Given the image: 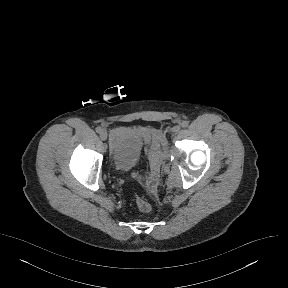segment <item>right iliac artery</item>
<instances>
[{
    "mask_svg": "<svg viewBox=\"0 0 288 288\" xmlns=\"http://www.w3.org/2000/svg\"><path fill=\"white\" fill-rule=\"evenodd\" d=\"M102 131H103V129H102L101 127H99V126L96 127V132H97V133H101Z\"/></svg>",
    "mask_w": 288,
    "mask_h": 288,
    "instance_id": "obj_1",
    "label": "right iliac artery"
}]
</instances>
